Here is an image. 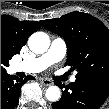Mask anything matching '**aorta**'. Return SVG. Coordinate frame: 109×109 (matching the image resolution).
Segmentation results:
<instances>
[{"label":"aorta","instance_id":"1","mask_svg":"<svg viewBox=\"0 0 109 109\" xmlns=\"http://www.w3.org/2000/svg\"><path fill=\"white\" fill-rule=\"evenodd\" d=\"M28 46L34 53L42 54L46 52L50 46L49 36L44 32H35L29 37ZM45 95L47 100L56 102L61 97L60 88L57 86H49Z\"/></svg>","mask_w":109,"mask_h":109}]
</instances>
